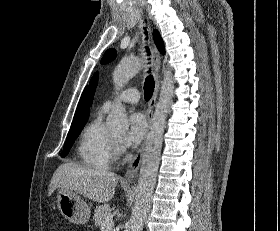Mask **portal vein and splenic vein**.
Wrapping results in <instances>:
<instances>
[{"label":"portal vein and splenic vein","instance_id":"18ae733b","mask_svg":"<svg viewBox=\"0 0 280 231\" xmlns=\"http://www.w3.org/2000/svg\"><path fill=\"white\" fill-rule=\"evenodd\" d=\"M113 225L114 221H112V219H106L104 223H101V231H109Z\"/></svg>","mask_w":280,"mask_h":231}]
</instances>
